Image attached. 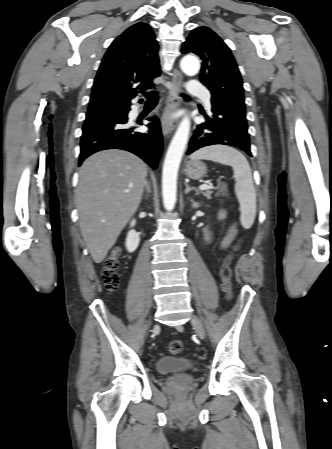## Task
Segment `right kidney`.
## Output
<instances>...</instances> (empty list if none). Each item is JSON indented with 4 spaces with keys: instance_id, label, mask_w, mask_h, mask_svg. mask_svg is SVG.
<instances>
[{
    "instance_id": "ca27d5eb",
    "label": "right kidney",
    "mask_w": 332,
    "mask_h": 449,
    "mask_svg": "<svg viewBox=\"0 0 332 449\" xmlns=\"http://www.w3.org/2000/svg\"><path fill=\"white\" fill-rule=\"evenodd\" d=\"M136 224L135 220H132L130 225L131 227H133ZM140 242V237L138 235L137 232H135L134 230H130L127 234V238H126V248L128 250V252H134Z\"/></svg>"
}]
</instances>
